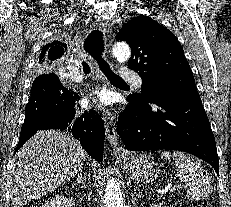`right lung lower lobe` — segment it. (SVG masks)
Segmentation results:
<instances>
[{"label":"right lung lower lobe","mask_w":231,"mask_h":207,"mask_svg":"<svg viewBox=\"0 0 231 207\" xmlns=\"http://www.w3.org/2000/svg\"><path fill=\"white\" fill-rule=\"evenodd\" d=\"M78 95L66 89L55 73L39 75L32 84L16 151L38 130L68 129L86 152L103 160L105 129L102 118L94 111L81 112Z\"/></svg>","instance_id":"obj_1"}]
</instances>
